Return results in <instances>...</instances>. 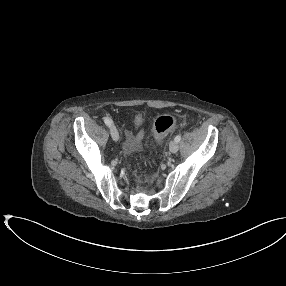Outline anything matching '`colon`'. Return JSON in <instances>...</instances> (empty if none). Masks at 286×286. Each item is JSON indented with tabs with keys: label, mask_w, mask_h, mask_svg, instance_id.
<instances>
[{
	"label": "colon",
	"mask_w": 286,
	"mask_h": 286,
	"mask_svg": "<svg viewBox=\"0 0 286 286\" xmlns=\"http://www.w3.org/2000/svg\"><path fill=\"white\" fill-rule=\"evenodd\" d=\"M176 119L171 115H162L158 117L153 126L154 138L156 141H161L168 134V132L175 126ZM142 139V134L128 138L125 145V153L129 154L135 151Z\"/></svg>",
	"instance_id": "1"
}]
</instances>
